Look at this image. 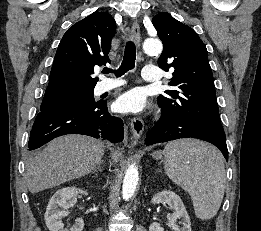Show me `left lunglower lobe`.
Here are the masks:
<instances>
[{"mask_svg": "<svg viewBox=\"0 0 261 231\" xmlns=\"http://www.w3.org/2000/svg\"><path fill=\"white\" fill-rule=\"evenodd\" d=\"M162 112V117L146 135V145L180 138H197L215 145L222 152L225 159L228 160V150L225 138L220 137L209 130L198 127L180 114Z\"/></svg>", "mask_w": 261, "mask_h": 231, "instance_id": "left-lung-lower-lobe-1", "label": "left lung lower lobe"}]
</instances>
